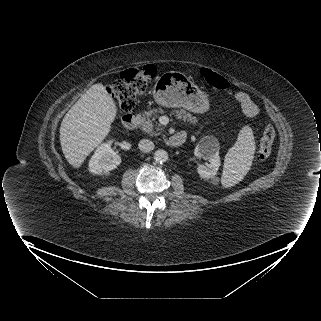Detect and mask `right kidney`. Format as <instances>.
<instances>
[{
  "label": "right kidney",
  "instance_id": "right-kidney-1",
  "mask_svg": "<svg viewBox=\"0 0 321 321\" xmlns=\"http://www.w3.org/2000/svg\"><path fill=\"white\" fill-rule=\"evenodd\" d=\"M112 141L98 146L89 161V170L94 174L108 173L115 169L120 163L121 158L111 149Z\"/></svg>",
  "mask_w": 321,
  "mask_h": 321
}]
</instances>
